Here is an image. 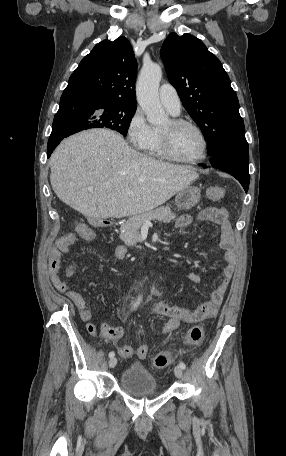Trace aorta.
Segmentation results:
<instances>
[{"label":"aorta","mask_w":286,"mask_h":456,"mask_svg":"<svg viewBox=\"0 0 286 456\" xmlns=\"http://www.w3.org/2000/svg\"><path fill=\"white\" fill-rule=\"evenodd\" d=\"M162 78L160 65L151 63L141 69L136 85L137 100L152 125H160L168 120V116L159 100L158 88Z\"/></svg>","instance_id":"1"}]
</instances>
